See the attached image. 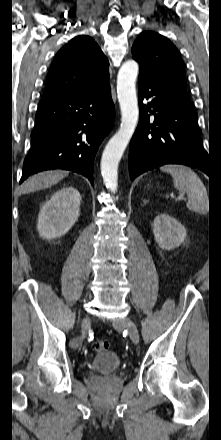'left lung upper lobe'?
I'll list each match as a JSON object with an SVG mask.
<instances>
[{
  "label": "left lung upper lobe",
  "instance_id": "5c2ea615",
  "mask_svg": "<svg viewBox=\"0 0 221 440\" xmlns=\"http://www.w3.org/2000/svg\"><path fill=\"white\" fill-rule=\"evenodd\" d=\"M132 56L139 63L140 74L189 98L183 60L166 37L152 31L141 33L132 46Z\"/></svg>",
  "mask_w": 221,
  "mask_h": 440
}]
</instances>
